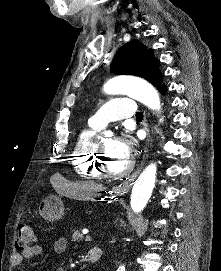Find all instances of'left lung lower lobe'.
Returning a JSON list of instances; mask_svg holds the SVG:
<instances>
[{
    "label": "left lung lower lobe",
    "mask_w": 221,
    "mask_h": 271,
    "mask_svg": "<svg viewBox=\"0 0 221 271\" xmlns=\"http://www.w3.org/2000/svg\"><path fill=\"white\" fill-rule=\"evenodd\" d=\"M159 92L162 94L166 93V87L163 85L162 87L158 88Z\"/></svg>",
    "instance_id": "left-lung-lower-lobe-1"
}]
</instances>
